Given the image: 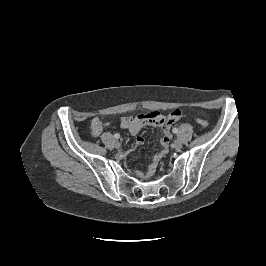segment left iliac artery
<instances>
[{
    "mask_svg": "<svg viewBox=\"0 0 266 266\" xmlns=\"http://www.w3.org/2000/svg\"><path fill=\"white\" fill-rule=\"evenodd\" d=\"M173 133L177 134L178 133V128H173Z\"/></svg>",
    "mask_w": 266,
    "mask_h": 266,
    "instance_id": "1",
    "label": "left iliac artery"
}]
</instances>
